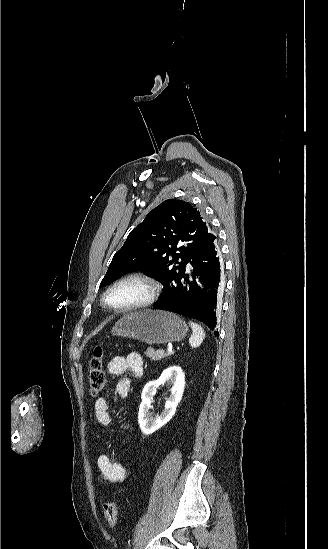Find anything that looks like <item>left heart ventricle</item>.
<instances>
[{"instance_id": "1", "label": "left heart ventricle", "mask_w": 328, "mask_h": 549, "mask_svg": "<svg viewBox=\"0 0 328 549\" xmlns=\"http://www.w3.org/2000/svg\"><path fill=\"white\" fill-rule=\"evenodd\" d=\"M145 295V287L141 282L131 280L119 286L108 296L111 304H126L137 301Z\"/></svg>"}]
</instances>
